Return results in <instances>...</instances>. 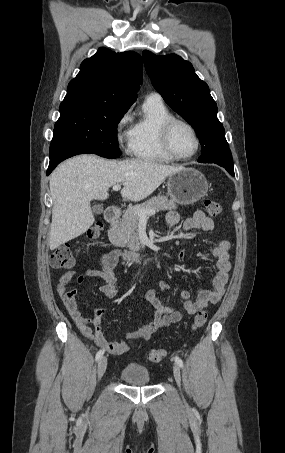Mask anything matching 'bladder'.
<instances>
[{
    "label": "bladder",
    "instance_id": "31cf9c89",
    "mask_svg": "<svg viewBox=\"0 0 285 453\" xmlns=\"http://www.w3.org/2000/svg\"><path fill=\"white\" fill-rule=\"evenodd\" d=\"M120 378L127 384L145 386L151 382L148 369L137 363H129L120 371Z\"/></svg>",
    "mask_w": 285,
    "mask_h": 453
}]
</instances>
